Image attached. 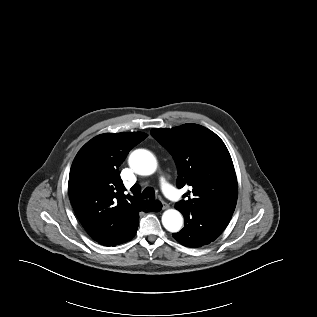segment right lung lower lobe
<instances>
[{
	"instance_id": "1",
	"label": "right lung lower lobe",
	"mask_w": 317,
	"mask_h": 317,
	"mask_svg": "<svg viewBox=\"0 0 317 317\" xmlns=\"http://www.w3.org/2000/svg\"><path fill=\"white\" fill-rule=\"evenodd\" d=\"M162 208V204L161 202L157 201L154 203V205L150 206V208H148L145 212H150V211H153V212H157L159 211L160 209ZM137 227H138V220L136 221V224L134 225L133 227V230L131 231V233L129 234V236L125 239L124 242L132 239L134 237V235L136 234V231H137ZM92 237V239L96 240L98 243L105 245L106 241L104 238H102L101 236H98L97 234H94V235H90ZM123 242V243H124Z\"/></svg>"
}]
</instances>
